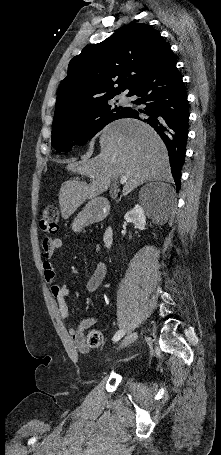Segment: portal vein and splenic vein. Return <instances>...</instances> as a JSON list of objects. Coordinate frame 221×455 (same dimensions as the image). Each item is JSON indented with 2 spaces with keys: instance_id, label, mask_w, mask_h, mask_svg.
<instances>
[{
  "instance_id": "1",
  "label": "portal vein and splenic vein",
  "mask_w": 221,
  "mask_h": 455,
  "mask_svg": "<svg viewBox=\"0 0 221 455\" xmlns=\"http://www.w3.org/2000/svg\"><path fill=\"white\" fill-rule=\"evenodd\" d=\"M91 178H93L94 176H90ZM128 180V177L127 176H122L121 179H120V183L121 184H125Z\"/></svg>"
}]
</instances>
